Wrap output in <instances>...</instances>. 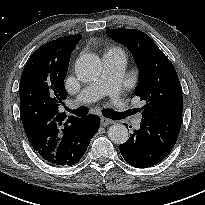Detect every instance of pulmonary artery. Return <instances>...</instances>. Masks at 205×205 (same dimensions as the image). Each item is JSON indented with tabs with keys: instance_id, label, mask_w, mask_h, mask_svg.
I'll return each instance as SVG.
<instances>
[{
	"instance_id": "1",
	"label": "pulmonary artery",
	"mask_w": 205,
	"mask_h": 205,
	"mask_svg": "<svg viewBox=\"0 0 205 205\" xmlns=\"http://www.w3.org/2000/svg\"><path fill=\"white\" fill-rule=\"evenodd\" d=\"M103 72L99 78L85 86L78 94L75 103L89 104L109 95L116 107L123 109L127 103L121 97V85L124 76L126 57L123 53L112 52L103 56ZM141 117L132 120L135 128H140Z\"/></svg>"
}]
</instances>
